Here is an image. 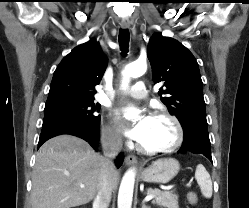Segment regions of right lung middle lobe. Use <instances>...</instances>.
I'll return each mask as SVG.
<instances>
[{
    "label": "right lung middle lobe",
    "instance_id": "1",
    "mask_svg": "<svg viewBox=\"0 0 249 208\" xmlns=\"http://www.w3.org/2000/svg\"><path fill=\"white\" fill-rule=\"evenodd\" d=\"M100 104H95L94 100L70 102L51 107H45V116H56L94 124L100 120V116L95 115L99 112Z\"/></svg>",
    "mask_w": 249,
    "mask_h": 208
}]
</instances>
